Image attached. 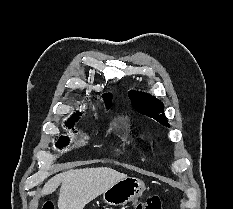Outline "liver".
Here are the masks:
<instances>
[{
    "label": "liver",
    "mask_w": 233,
    "mask_h": 209,
    "mask_svg": "<svg viewBox=\"0 0 233 209\" xmlns=\"http://www.w3.org/2000/svg\"><path fill=\"white\" fill-rule=\"evenodd\" d=\"M127 177L107 167L71 169L57 174L44 185L41 194L53 193L59 185V209H83L113 184Z\"/></svg>",
    "instance_id": "liver-1"
}]
</instances>
